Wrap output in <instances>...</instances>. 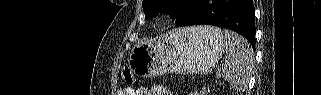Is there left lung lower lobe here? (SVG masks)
Listing matches in <instances>:
<instances>
[{
  "label": "left lung lower lobe",
  "mask_w": 321,
  "mask_h": 95,
  "mask_svg": "<svg viewBox=\"0 0 321 95\" xmlns=\"http://www.w3.org/2000/svg\"><path fill=\"white\" fill-rule=\"evenodd\" d=\"M175 18L179 26L206 24L234 30L254 47L253 0H187Z\"/></svg>",
  "instance_id": "left-lung-lower-lobe-1"
}]
</instances>
